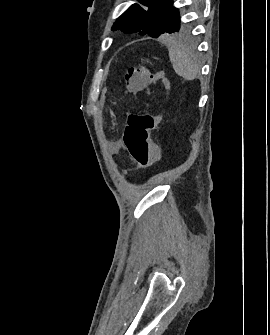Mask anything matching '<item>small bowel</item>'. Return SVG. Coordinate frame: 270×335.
<instances>
[{"instance_id":"c3829d8e","label":"small bowel","mask_w":270,"mask_h":335,"mask_svg":"<svg viewBox=\"0 0 270 335\" xmlns=\"http://www.w3.org/2000/svg\"><path fill=\"white\" fill-rule=\"evenodd\" d=\"M114 147L116 149H119L121 147V143L120 142H116L115 145H114Z\"/></svg>"}]
</instances>
